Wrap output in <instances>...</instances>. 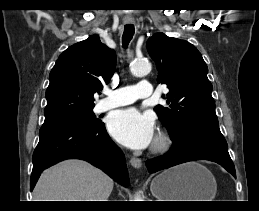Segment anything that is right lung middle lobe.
Listing matches in <instances>:
<instances>
[{"instance_id":"1","label":"right lung middle lobe","mask_w":259,"mask_h":211,"mask_svg":"<svg viewBox=\"0 0 259 211\" xmlns=\"http://www.w3.org/2000/svg\"><path fill=\"white\" fill-rule=\"evenodd\" d=\"M59 123L72 124V125H78V126H98L102 124L101 120L96 118L92 110L70 116L66 119H63L53 124H59Z\"/></svg>"}]
</instances>
